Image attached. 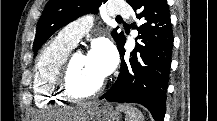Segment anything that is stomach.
I'll use <instances>...</instances> for the list:
<instances>
[{"mask_svg": "<svg viewBox=\"0 0 217 121\" xmlns=\"http://www.w3.org/2000/svg\"><path fill=\"white\" fill-rule=\"evenodd\" d=\"M120 113L118 109H114L111 105L104 104L102 106L95 105L88 114L87 121H119Z\"/></svg>", "mask_w": 217, "mask_h": 121, "instance_id": "1", "label": "stomach"}]
</instances>
